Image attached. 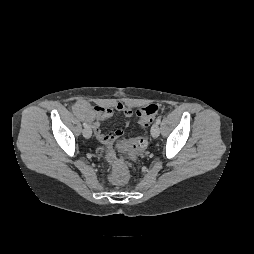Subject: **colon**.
Masks as SVG:
<instances>
[{
  "label": "colon",
  "instance_id": "obj_1",
  "mask_svg": "<svg viewBox=\"0 0 254 254\" xmlns=\"http://www.w3.org/2000/svg\"><path fill=\"white\" fill-rule=\"evenodd\" d=\"M158 112V107L155 104L140 107L136 110V115L140 124L143 127H148ZM148 140L145 136L134 139H128L122 142L121 147L129 154H137L144 150L147 146ZM112 179L115 183L123 184L127 180V175L122 170L118 169L113 173Z\"/></svg>",
  "mask_w": 254,
  "mask_h": 254
}]
</instances>
